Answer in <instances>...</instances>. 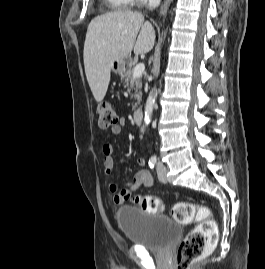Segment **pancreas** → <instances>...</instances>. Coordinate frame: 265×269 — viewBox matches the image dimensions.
Wrapping results in <instances>:
<instances>
[{
  "label": "pancreas",
  "mask_w": 265,
  "mask_h": 269,
  "mask_svg": "<svg viewBox=\"0 0 265 269\" xmlns=\"http://www.w3.org/2000/svg\"><path fill=\"white\" fill-rule=\"evenodd\" d=\"M125 87H127L129 90L133 89L135 91L134 95L132 96V98H134L135 100H137L136 103H134L132 105V109L135 110L137 107V104H139L141 102V98H142V92H141V88H142V81L141 78H134L132 75V70H129L126 74V78L124 81Z\"/></svg>",
  "instance_id": "obj_1"
}]
</instances>
